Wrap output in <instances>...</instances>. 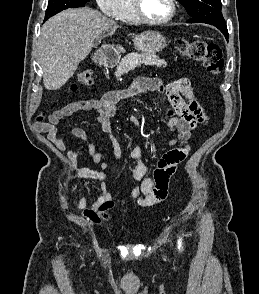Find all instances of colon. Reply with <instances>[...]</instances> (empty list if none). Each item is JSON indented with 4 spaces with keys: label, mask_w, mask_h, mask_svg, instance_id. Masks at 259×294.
Here are the masks:
<instances>
[{
    "label": "colon",
    "mask_w": 259,
    "mask_h": 294,
    "mask_svg": "<svg viewBox=\"0 0 259 294\" xmlns=\"http://www.w3.org/2000/svg\"><path fill=\"white\" fill-rule=\"evenodd\" d=\"M175 45L182 56L201 62L212 75H218L222 71L224 61L221 48L217 44L179 38ZM92 82L93 72L89 69L82 70L77 74V83L72 86V90H76L78 86H89Z\"/></svg>",
    "instance_id": "1"
}]
</instances>
